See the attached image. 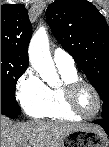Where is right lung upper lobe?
Returning a JSON list of instances; mask_svg holds the SVG:
<instances>
[{
    "label": "right lung upper lobe",
    "mask_w": 109,
    "mask_h": 147,
    "mask_svg": "<svg viewBox=\"0 0 109 147\" xmlns=\"http://www.w3.org/2000/svg\"><path fill=\"white\" fill-rule=\"evenodd\" d=\"M32 26L23 4L1 6V53L28 66V45Z\"/></svg>",
    "instance_id": "cb5924a9"
}]
</instances>
